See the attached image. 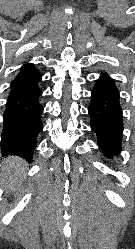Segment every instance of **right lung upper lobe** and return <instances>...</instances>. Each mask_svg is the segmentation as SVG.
Returning <instances> with one entry per match:
<instances>
[{
  "label": "right lung upper lobe",
  "instance_id": "1",
  "mask_svg": "<svg viewBox=\"0 0 135 249\" xmlns=\"http://www.w3.org/2000/svg\"><path fill=\"white\" fill-rule=\"evenodd\" d=\"M39 73L38 69L32 64H25L20 68L19 73L15 78H21Z\"/></svg>",
  "mask_w": 135,
  "mask_h": 249
}]
</instances>
